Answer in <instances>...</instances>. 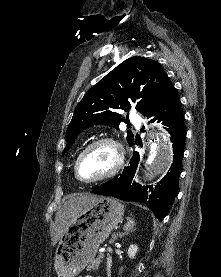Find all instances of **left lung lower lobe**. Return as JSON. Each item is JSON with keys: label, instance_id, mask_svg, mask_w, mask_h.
<instances>
[{"label": "left lung lower lobe", "instance_id": "0a47b994", "mask_svg": "<svg viewBox=\"0 0 221 277\" xmlns=\"http://www.w3.org/2000/svg\"><path fill=\"white\" fill-rule=\"evenodd\" d=\"M152 116L154 118L150 122L162 121L165 129L169 131L173 143V164L166 176L155 187L141 186L135 183L134 176L140 156L139 153L134 152L130 164L120 175L100 185L91 193L113 196L124 201L143 202L161 221L167 215L177 193L186 138L184 116L175 89L160 104Z\"/></svg>", "mask_w": 221, "mask_h": 277}]
</instances>
